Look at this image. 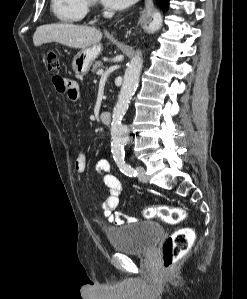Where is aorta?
Listing matches in <instances>:
<instances>
[{
    "mask_svg": "<svg viewBox=\"0 0 247 299\" xmlns=\"http://www.w3.org/2000/svg\"><path fill=\"white\" fill-rule=\"evenodd\" d=\"M143 67V59L140 51L129 62L123 79V84L118 96V101L113 109L111 122V152L115 156H121L124 153V146L129 141V130L122 123L130 101L138 87L140 72Z\"/></svg>",
    "mask_w": 247,
    "mask_h": 299,
    "instance_id": "obj_1",
    "label": "aorta"
}]
</instances>
